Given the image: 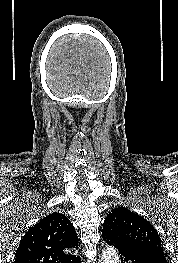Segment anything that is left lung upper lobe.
Returning a JSON list of instances; mask_svg holds the SVG:
<instances>
[{
    "label": "left lung upper lobe",
    "instance_id": "left-lung-upper-lobe-1",
    "mask_svg": "<svg viewBox=\"0 0 178 263\" xmlns=\"http://www.w3.org/2000/svg\"><path fill=\"white\" fill-rule=\"evenodd\" d=\"M103 228H109L119 236L162 251V241L152 224L127 208L119 206L112 210L106 217Z\"/></svg>",
    "mask_w": 178,
    "mask_h": 263
}]
</instances>
